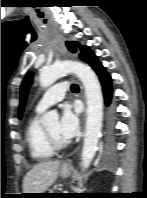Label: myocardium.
<instances>
[{
    "label": "myocardium",
    "instance_id": "f54148a6",
    "mask_svg": "<svg viewBox=\"0 0 147 198\" xmlns=\"http://www.w3.org/2000/svg\"><path fill=\"white\" fill-rule=\"evenodd\" d=\"M45 137L47 140L48 145L51 147L53 151H58L66 147V143H58L56 142L53 137L48 132L47 128H44Z\"/></svg>",
    "mask_w": 147,
    "mask_h": 198
}]
</instances>
